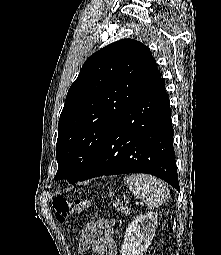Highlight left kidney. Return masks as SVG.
I'll return each instance as SVG.
<instances>
[{
	"label": "left kidney",
	"instance_id": "1",
	"mask_svg": "<svg viewBox=\"0 0 221 255\" xmlns=\"http://www.w3.org/2000/svg\"><path fill=\"white\" fill-rule=\"evenodd\" d=\"M157 216V213L148 212L129 224L121 246L122 255H143L147 251L155 234Z\"/></svg>",
	"mask_w": 221,
	"mask_h": 255
}]
</instances>
